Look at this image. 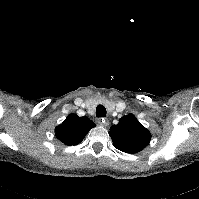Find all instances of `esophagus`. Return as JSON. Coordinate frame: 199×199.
<instances>
[{
	"mask_svg": "<svg viewBox=\"0 0 199 199\" xmlns=\"http://www.w3.org/2000/svg\"><path fill=\"white\" fill-rule=\"evenodd\" d=\"M98 123L101 125V126H104V127H107L109 125V121L105 118H101L98 120Z\"/></svg>",
	"mask_w": 199,
	"mask_h": 199,
	"instance_id": "obj_1",
	"label": "esophagus"
}]
</instances>
